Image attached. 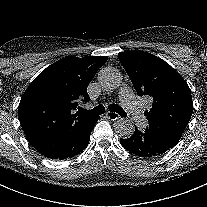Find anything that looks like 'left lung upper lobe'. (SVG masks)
Here are the masks:
<instances>
[{
    "mask_svg": "<svg viewBox=\"0 0 207 207\" xmlns=\"http://www.w3.org/2000/svg\"><path fill=\"white\" fill-rule=\"evenodd\" d=\"M118 58L138 95L152 101V108L144 112L149 122L146 130L173 148L193 112L188 84L167 62L150 53L127 51Z\"/></svg>",
    "mask_w": 207,
    "mask_h": 207,
    "instance_id": "left-lung-upper-lobe-1",
    "label": "left lung upper lobe"
}]
</instances>
